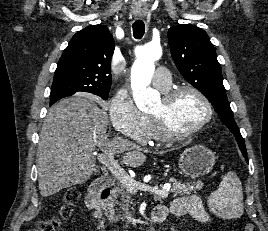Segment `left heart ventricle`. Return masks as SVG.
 I'll return each instance as SVG.
<instances>
[{
	"instance_id": "b2bd125f",
	"label": "left heart ventricle",
	"mask_w": 268,
	"mask_h": 231,
	"mask_svg": "<svg viewBox=\"0 0 268 231\" xmlns=\"http://www.w3.org/2000/svg\"><path fill=\"white\" fill-rule=\"evenodd\" d=\"M162 108V99L153 107L151 114L158 113ZM205 116L203 102L191 92L180 94L169 110L172 128L177 132L191 130L198 125Z\"/></svg>"
}]
</instances>
